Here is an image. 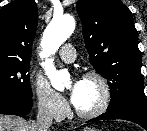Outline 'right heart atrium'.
<instances>
[{"label": "right heart atrium", "mask_w": 147, "mask_h": 131, "mask_svg": "<svg viewBox=\"0 0 147 131\" xmlns=\"http://www.w3.org/2000/svg\"><path fill=\"white\" fill-rule=\"evenodd\" d=\"M32 89L38 110L43 115L57 119L65 114L67 105L64 99L44 80L35 78Z\"/></svg>", "instance_id": "right-heart-atrium-1"}]
</instances>
